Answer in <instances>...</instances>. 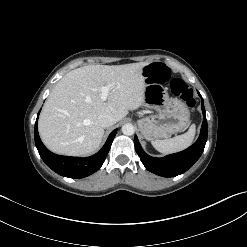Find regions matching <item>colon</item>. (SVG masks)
Returning a JSON list of instances; mask_svg holds the SVG:
<instances>
[{"label":"colon","instance_id":"obj_1","mask_svg":"<svg viewBox=\"0 0 247 247\" xmlns=\"http://www.w3.org/2000/svg\"><path fill=\"white\" fill-rule=\"evenodd\" d=\"M144 75L150 82L165 83L171 78V72L168 67L160 63H153L144 68ZM172 93L183 100L186 105L193 109L195 107V98L193 90L187 83L179 78H174L170 83Z\"/></svg>","mask_w":247,"mask_h":247}]
</instances>
